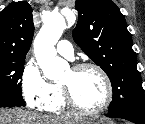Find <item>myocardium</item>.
<instances>
[{
  "mask_svg": "<svg viewBox=\"0 0 145 124\" xmlns=\"http://www.w3.org/2000/svg\"><path fill=\"white\" fill-rule=\"evenodd\" d=\"M87 69H93L97 71L105 84V99L103 100L102 104L98 108L94 110H86L80 107L75 101L70 88L63 83H59V86L61 88L66 106L73 113L82 116H96L104 112L111 104L113 100V85L107 72L98 64L91 63V62L79 63L74 65L71 70L73 72H80Z\"/></svg>",
  "mask_w": 145,
  "mask_h": 124,
  "instance_id": "obj_1",
  "label": "myocardium"
}]
</instances>
